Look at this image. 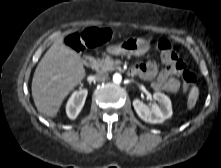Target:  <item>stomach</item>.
<instances>
[{"label": "stomach", "mask_w": 221, "mask_h": 168, "mask_svg": "<svg viewBox=\"0 0 221 168\" xmlns=\"http://www.w3.org/2000/svg\"><path fill=\"white\" fill-rule=\"evenodd\" d=\"M150 44L142 38H127L117 45L108 47L107 51L116 55L141 56L148 52Z\"/></svg>", "instance_id": "stomach-1"}]
</instances>
